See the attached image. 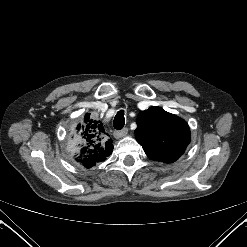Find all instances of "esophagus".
I'll list each match as a JSON object with an SVG mask.
<instances>
[{
	"label": "esophagus",
	"mask_w": 247,
	"mask_h": 247,
	"mask_svg": "<svg viewBox=\"0 0 247 247\" xmlns=\"http://www.w3.org/2000/svg\"><path fill=\"white\" fill-rule=\"evenodd\" d=\"M127 133H128V128H124V129H122V130H116V131L114 132V134H115V136H116L117 138H122V137L126 136Z\"/></svg>",
	"instance_id": "34e87169"
}]
</instances>
